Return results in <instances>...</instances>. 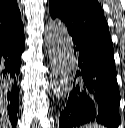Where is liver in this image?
Wrapping results in <instances>:
<instances>
[{
  "mask_svg": "<svg viewBox=\"0 0 125 128\" xmlns=\"http://www.w3.org/2000/svg\"><path fill=\"white\" fill-rule=\"evenodd\" d=\"M10 125L7 120L6 112V101H5V91L0 86V128H9Z\"/></svg>",
  "mask_w": 125,
  "mask_h": 128,
  "instance_id": "1",
  "label": "liver"
}]
</instances>
